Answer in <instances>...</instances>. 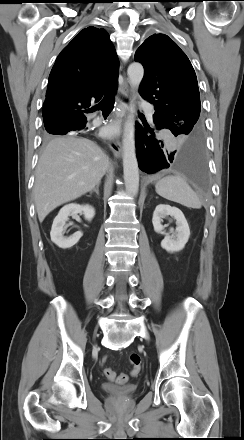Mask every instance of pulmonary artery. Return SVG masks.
<instances>
[{
  "label": "pulmonary artery",
  "instance_id": "pulmonary-artery-1",
  "mask_svg": "<svg viewBox=\"0 0 244 440\" xmlns=\"http://www.w3.org/2000/svg\"><path fill=\"white\" fill-rule=\"evenodd\" d=\"M142 107L145 109L149 120H152V115H153V111H154L153 106L150 103L142 102ZM95 120H96V122H98L99 118H96Z\"/></svg>",
  "mask_w": 244,
  "mask_h": 440
}]
</instances>
